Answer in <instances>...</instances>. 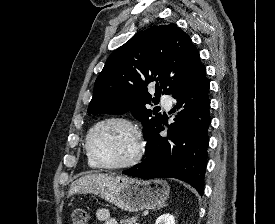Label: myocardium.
Listing matches in <instances>:
<instances>
[{"label":"myocardium","mask_w":275,"mask_h":224,"mask_svg":"<svg viewBox=\"0 0 275 224\" xmlns=\"http://www.w3.org/2000/svg\"><path fill=\"white\" fill-rule=\"evenodd\" d=\"M122 123L124 125H126L133 133L134 135V139L136 142V149L135 152L133 154V156L128 159L125 162L122 163H118V164H108L105 163L103 161H101L98 156L95 154V152L93 151L92 148V136L94 134V132L101 127L104 124L107 123ZM85 146H86V150L87 153L89 154V156L91 157V159L96 163V165L98 167L101 168H105V169H125V168H129L135 164H137L142 156H143V152H144V141H143V137L142 134L139 130V128L137 127V125L132 122L131 120L122 117V116H109V117H105L101 120H99L98 122H96L91 129L89 130L87 136H86V141H85Z\"/></svg>","instance_id":"1"}]
</instances>
